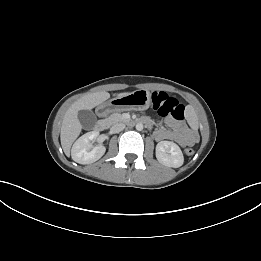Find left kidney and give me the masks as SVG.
<instances>
[{
	"mask_svg": "<svg viewBox=\"0 0 261 261\" xmlns=\"http://www.w3.org/2000/svg\"><path fill=\"white\" fill-rule=\"evenodd\" d=\"M156 158L161 164L173 168L182 166L184 162L180 147L171 141H161L157 144Z\"/></svg>",
	"mask_w": 261,
	"mask_h": 261,
	"instance_id": "obj_1",
	"label": "left kidney"
}]
</instances>
